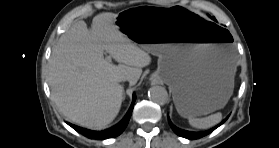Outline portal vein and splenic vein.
Instances as JSON below:
<instances>
[{"instance_id": "portal-vein-and-splenic-vein-1", "label": "portal vein and splenic vein", "mask_w": 279, "mask_h": 148, "mask_svg": "<svg viewBox=\"0 0 279 148\" xmlns=\"http://www.w3.org/2000/svg\"><path fill=\"white\" fill-rule=\"evenodd\" d=\"M106 60H107L108 62H111V56H107V57H106Z\"/></svg>"}]
</instances>
